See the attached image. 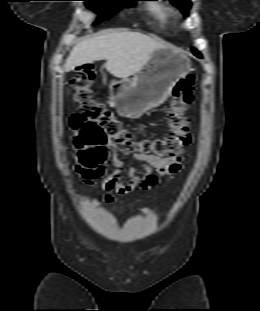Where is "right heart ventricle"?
Instances as JSON below:
<instances>
[{
    "instance_id": "e07e8e85",
    "label": "right heart ventricle",
    "mask_w": 260,
    "mask_h": 311,
    "mask_svg": "<svg viewBox=\"0 0 260 311\" xmlns=\"http://www.w3.org/2000/svg\"><path fill=\"white\" fill-rule=\"evenodd\" d=\"M148 11L152 17L162 24L168 23L171 18V14L168 9L161 4L150 5Z\"/></svg>"
}]
</instances>
